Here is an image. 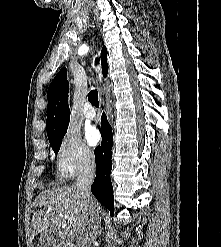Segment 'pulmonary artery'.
Listing matches in <instances>:
<instances>
[{"instance_id":"pulmonary-artery-1","label":"pulmonary artery","mask_w":221,"mask_h":247,"mask_svg":"<svg viewBox=\"0 0 221 247\" xmlns=\"http://www.w3.org/2000/svg\"><path fill=\"white\" fill-rule=\"evenodd\" d=\"M84 116L87 119H93L95 117V110L90 106V104H87L84 108Z\"/></svg>"}]
</instances>
